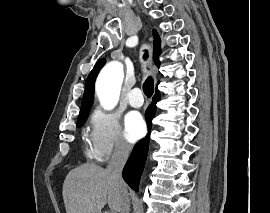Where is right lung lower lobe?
I'll return each mask as SVG.
<instances>
[{"instance_id": "98d812e1", "label": "right lung lower lobe", "mask_w": 270, "mask_h": 213, "mask_svg": "<svg viewBox=\"0 0 270 213\" xmlns=\"http://www.w3.org/2000/svg\"><path fill=\"white\" fill-rule=\"evenodd\" d=\"M159 99L160 93L156 89L155 95L152 99V103L147 108L145 113L149 130L151 128L152 118L156 112V103L159 101ZM149 134L150 133H148V135L144 139H142L136 144L123 170L124 180L135 191H138L140 177L147 158L149 147Z\"/></svg>"}]
</instances>
